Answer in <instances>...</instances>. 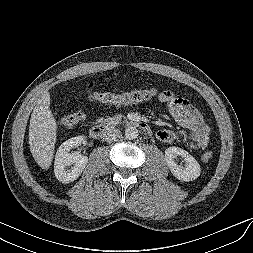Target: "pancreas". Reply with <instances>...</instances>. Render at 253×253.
Segmentation results:
<instances>
[{"label":"pancreas","mask_w":253,"mask_h":253,"mask_svg":"<svg viewBox=\"0 0 253 253\" xmlns=\"http://www.w3.org/2000/svg\"><path fill=\"white\" fill-rule=\"evenodd\" d=\"M117 119L118 117L114 116V117H108V118H105L104 120H102L101 122L104 124V125H114L117 123Z\"/></svg>","instance_id":"cf45deb5"}]
</instances>
